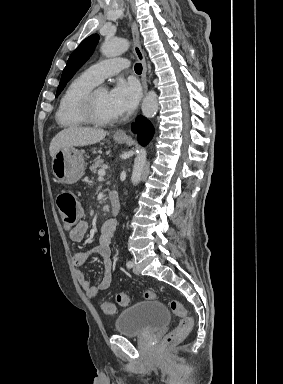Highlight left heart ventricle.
<instances>
[{"label": "left heart ventricle", "mask_w": 283, "mask_h": 384, "mask_svg": "<svg viewBox=\"0 0 283 384\" xmlns=\"http://www.w3.org/2000/svg\"><path fill=\"white\" fill-rule=\"evenodd\" d=\"M95 110L97 115L105 120L116 119L115 115L110 107L108 100V91L105 88H100L95 95Z\"/></svg>", "instance_id": "b2bd125f"}]
</instances>
